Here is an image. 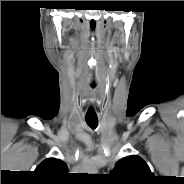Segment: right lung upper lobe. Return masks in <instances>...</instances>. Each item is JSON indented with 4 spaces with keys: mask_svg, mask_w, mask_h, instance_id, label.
<instances>
[{
    "mask_svg": "<svg viewBox=\"0 0 184 184\" xmlns=\"http://www.w3.org/2000/svg\"><path fill=\"white\" fill-rule=\"evenodd\" d=\"M40 180L49 184H60L67 181V165L58 159L49 158L44 160L34 171Z\"/></svg>",
    "mask_w": 184,
    "mask_h": 184,
    "instance_id": "right-lung-upper-lobe-1",
    "label": "right lung upper lobe"
}]
</instances>
